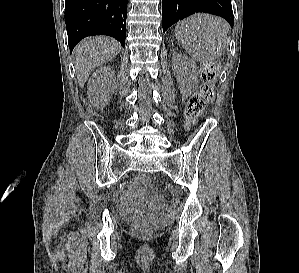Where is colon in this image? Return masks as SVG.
I'll return each instance as SVG.
<instances>
[{
  "label": "colon",
  "mask_w": 299,
  "mask_h": 273,
  "mask_svg": "<svg viewBox=\"0 0 299 273\" xmlns=\"http://www.w3.org/2000/svg\"><path fill=\"white\" fill-rule=\"evenodd\" d=\"M216 74V67L211 62H207L201 67L202 85L200 86L198 91L189 99L185 109V116L189 121H197L208 104L213 100L215 95L213 83L216 79ZM176 212V201H174L165 219H173L176 216ZM131 230L135 235L140 237H146L152 233L151 226L145 223H135L132 225Z\"/></svg>",
  "instance_id": "colon-1"
}]
</instances>
